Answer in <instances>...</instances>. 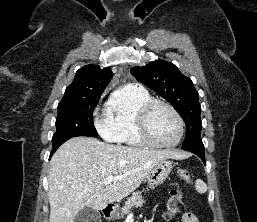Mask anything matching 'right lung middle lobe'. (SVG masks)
<instances>
[{
  "mask_svg": "<svg viewBox=\"0 0 257 222\" xmlns=\"http://www.w3.org/2000/svg\"><path fill=\"white\" fill-rule=\"evenodd\" d=\"M101 96L61 100L56 118V133L52 138L53 147H59L72 137H96L93 111Z\"/></svg>",
  "mask_w": 257,
  "mask_h": 222,
  "instance_id": "right-lung-middle-lobe-1",
  "label": "right lung middle lobe"
}]
</instances>
